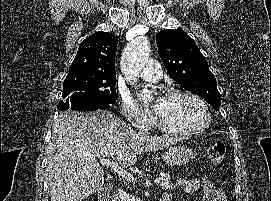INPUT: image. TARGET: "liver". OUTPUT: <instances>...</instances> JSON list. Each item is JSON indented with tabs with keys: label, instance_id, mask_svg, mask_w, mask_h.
Instances as JSON below:
<instances>
[{
	"label": "liver",
	"instance_id": "liver-1",
	"mask_svg": "<svg viewBox=\"0 0 271 201\" xmlns=\"http://www.w3.org/2000/svg\"><path fill=\"white\" fill-rule=\"evenodd\" d=\"M176 142L134 130L108 111L63 112L54 122L47 146L51 201H82L101 191L112 176L105 177L99 158L116 157L122 167H128L140 153Z\"/></svg>",
	"mask_w": 271,
	"mask_h": 201
}]
</instances>
